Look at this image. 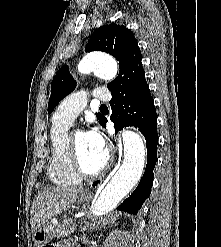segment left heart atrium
I'll list each match as a JSON object with an SVG mask.
<instances>
[{"mask_svg":"<svg viewBox=\"0 0 221 247\" xmlns=\"http://www.w3.org/2000/svg\"><path fill=\"white\" fill-rule=\"evenodd\" d=\"M89 142L99 151L106 152V142L102 133L93 128L85 133Z\"/></svg>","mask_w":221,"mask_h":247,"instance_id":"obj_1","label":"left heart atrium"}]
</instances>
